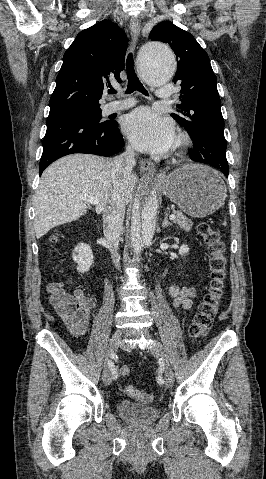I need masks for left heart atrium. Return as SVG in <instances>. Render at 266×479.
<instances>
[{
	"instance_id": "1",
	"label": "left heart atrium",
	"mask_w": 266,
	"mask_h": 479,
	"mask_svg": "<svg viewBox=\"0 0 266 479\" xmlns=\"http://www.w3.org/2000/svg\"><path fill=\"white\" fill-rule=\"evenodd\" d=\"M123 130L136 147L158 154L166 152L174 141L172 124L146 107L126 115Z\"/></svg>"
}]
</instances>
